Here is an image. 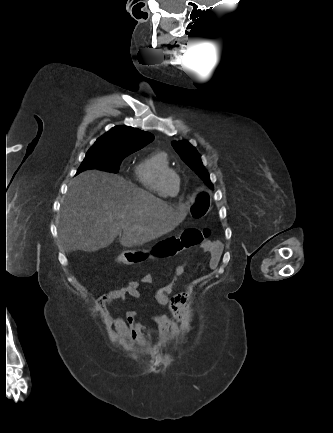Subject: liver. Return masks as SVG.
Returning <instances> with one entry per match:
<instances>
[{
  "mask_svg": "<svg viewBox=\"0 0 333 433\" xmlns=\"http://www.w3.org/2000/svg\"><path fill=\"white\" fill-rule=\"evenodd\" d=\"M186 207V201L166 204L118 175L88 170L69 185L59 237L68 251L95 252L117 236L124 247L140 246L171 232Z\"/></svg>",
  "mask_w": 333,
  "mask_h": 433,
  "instance_id": "6515ba94",
  "label": "liver"
}]
</instances>
